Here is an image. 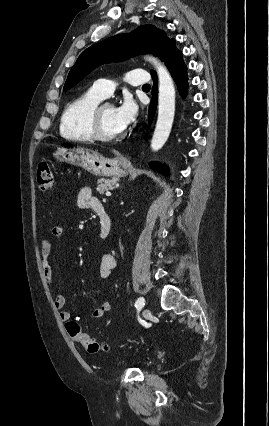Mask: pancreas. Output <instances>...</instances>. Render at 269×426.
I'll return each instance as SVG.
<instances>
[{
    "label": "pancreas",
    "instance_id": "1",
    "mask_svg": "<svg viewBox=\"0 0 269 426\" xmlns=\"http://www.w3.org/2000/svg\"><path fill=\"white\" fill-rule=\"evenodd\" d=\"M116 181H117L116 178H112V179H103V178H101V179H98L96 190L100 194H104L105 191L114 189Z\"/></svg>",
    "mask_w": 269,
    "mask_h": 426
}]
</instances>
